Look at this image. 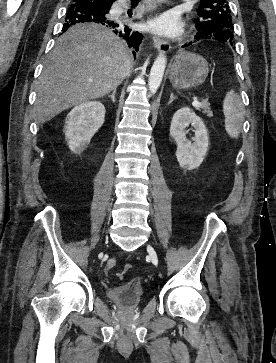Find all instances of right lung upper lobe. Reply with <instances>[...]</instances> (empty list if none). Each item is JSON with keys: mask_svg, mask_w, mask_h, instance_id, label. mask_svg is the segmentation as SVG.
<instances>
[{"mask_svg": "<svg viewBox=\"0 0 276 363\" xmlns=\"http://www.w3.org/2000/svg\"><path fill=\"white\" fill-rule=\"evenodd\" d=\"M80 1L95 2L98 5L111 8L113 2H115L116 0H80Z\"/></svg>", "mask_w": 276, "mask_h": 363, "instance_id": "right-lung-upper-lobe-1", "label": "right lung upper lobe"}]
</instances>
